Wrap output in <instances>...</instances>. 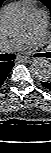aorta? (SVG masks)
<instances>
[{"label": "aorta", "mask_w": 51, "mask_h": 153, "mask_svg": "<svg viewBox=\"0 0 51 153\" xmlns=\"http://www.w3.org/2000/svg\"><path fill=\"white\" fill-rule=\"evenodd\" d=\"M28 13L18 4L5 6L1 12L3 30L9 34L22 33L28 26ZM31 73L42 82L51 80V62L46 58H37L31 65Z\"/></svg>", "instance_id": "1"}]
</instances>
